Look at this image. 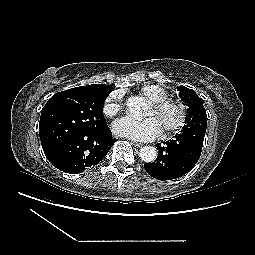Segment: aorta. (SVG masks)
Returning <instances> with one entry per match:
<instances>
[{
	"instance_id": "obj_1",
	"label": "aorta",
	"mask_w": 255,
	"mask_h": 255,
	"mask_svg": "<svg viewBox=\"0 0 255 255\" xmlns=\"http://www.w3.org/2000/svg\"><path fill=\"white\" fill-rule=\"evenodd\" d=\"M143 101L138 96H131L127 101L130 114L134 118H140ZM139 156L146 163H151L157 158V150L153 146H144L140 149Z\"/></svg>"
}]
</instances>
